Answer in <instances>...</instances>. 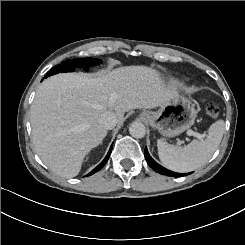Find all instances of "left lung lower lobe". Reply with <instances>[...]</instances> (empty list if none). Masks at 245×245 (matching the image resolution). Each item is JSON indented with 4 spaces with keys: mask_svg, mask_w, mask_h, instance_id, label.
Wrapping results in <instances>:
<instances>
[{
    "mask_svg": "<svg viewBox=\"0 0 245 245\" xmlns=\"http://www.w3.org/2000/svg\"><path fill=\"white\" fill-rule=\"evenodd\" d=\"M144 155H145V159L148 163V165L153 169L155 170L156 172L162 174V175H167V176H171V177H181V176H185L186 174L185 173H176V172H173V171H170L164 167H162L161 165H159L157 162H155L151 156L149 155L148 151H147V148H145V152H144ZM190 174V173H189Z\"/></svg>",
    "mask_w": 245,
    "mask_h": 245,
    "instance_id": "left-lung-lower-lobe-1",
    "label": "left lung lower lobe"
}]
</instances>
